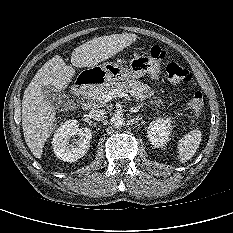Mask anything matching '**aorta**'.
<instances>
[{"label":"aorta","mask_w":233,"mask_h":233,"mask_svg":"<svg viewBox=\"0 0 233 233\" xmlns=\"http://www.w3.org/2000/svg\"><path fill=\"white\" fill-rule=\"evenodd\" d=\"M110 125L114 128H121L124 126L125 124V119L122 115L120 114H114L111 118H110Z\"/></svg>","instance_id":"obj_1"}]
</instances>
